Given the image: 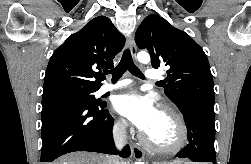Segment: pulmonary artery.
<instances>
[{
    "label": "pulmonary artery",
    "instance_id": "1",
    "mask_svg": "<svg viewBox=\"0 0 251 164\" xmlns=\"http://www.w3.org/2000/svg\"><path fill=\"white\" fill-rule=\"evenodd\" d=\"M160 78H161L160 73L155 69H147L145 72V79L148 81H156V80H159ZM130 83H131V80L129 79H124L116 83H105L99 88L98 94L103 95L107 92L126 86Z\"/></svg>",
    "mask_w": 251,
    "mask_h": 164
}]
</instances>
